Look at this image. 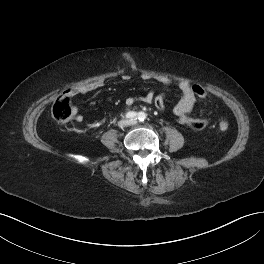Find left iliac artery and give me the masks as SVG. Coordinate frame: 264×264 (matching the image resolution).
<instances>
[{
	"label": "left iliac artery",
	"instance_id": "44dca946",
	"mask_svg": "<svg viewBox=\"0 0 264 264\" xmlns=\"http://www.w3.org/2000/svg\"><path fill=\"white\" fill-rule=\"evenodd\" d=\"M139 121H144L146 119V114L144 112H140L138 114Z\"/></svg>",
	"mask_w": 264,
	"mask_h": 264
}]
</instances>
